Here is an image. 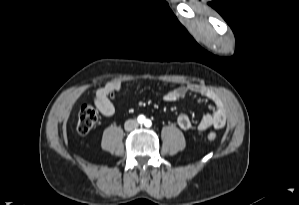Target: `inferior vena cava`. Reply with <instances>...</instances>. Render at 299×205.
<instances>
[{
    "instance_id": "1",
    "label": "inferior vena cava",
    "mask_w": 299,
    "mask_h": 205,
    "mask_svg": "<svg viewBox=\"0 0 299 205\" xmlns=\"http://www.w3.org/2000/svg\"><path fill=\"white\" fill-rule=\"evenodd\" d=\"M137 127H138V123L136 120H127L124 125L126 131H131Z\"/></svg>"
}]
</instances>
